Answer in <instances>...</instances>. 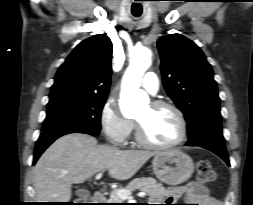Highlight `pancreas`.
<instances>
[{
	"label": "pancreas",
	"mask_w": 253,
	"mask_h": 205,
	"mask_svg": "<svg viewBox=\"0 0 253 205\" xmlns=\"http://www.w3.org/2000/svg\"><path fill=\"white\" fill-rule=\"evenodd\" d=\"M122 189L130 192L133 190L145 192L148 194L150 201H163L164 197L168 194L167 191L151 177L135 178L125 188L119 190ZM116 191L110 195L107 203H123V201L116 195Z\"/></svg>",
	"instance_id": "obj_1"
}]
</instances>
